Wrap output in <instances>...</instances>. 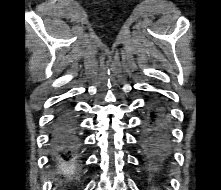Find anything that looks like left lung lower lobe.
<instances>
[{"mask_svg": "<svg viewBox=\"0 0 221 190\" xmlns=\"http://www.w3.org/2000/svg\"><path fill=\"white\" fill-rule=\"evenodd\" d=\"M163 115L162 106L154 103L143 138V149L149 160L148 168L152 172H159L161 165L169 158L167 130Z\"/></svg>", "mask_w": 221, "mask_h": 190, "instance_id": "0a47b994", "label": "left lung lower lobe"}]
</instances>
